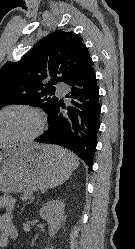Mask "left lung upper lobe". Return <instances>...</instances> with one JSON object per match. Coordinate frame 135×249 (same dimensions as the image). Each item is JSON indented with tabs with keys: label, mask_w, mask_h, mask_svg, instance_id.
<instances>
[{
	"label": "left lung upper lobe",
	"mask_w": 135,
	"mask_h": 249,
	"mask_svg": "<svg viewBox=\"0 0 135 249\" xmlns=\"http://www.w3.org/2000/svg\"><path fill=\"white\" fill-rule=\"evenodd\" d=\"M82 38L57 30L44 37L18 62H7L0 70V108L10 103L41 107L47 114L58 98L57 82L66 84L85 73L92 59Z\"/></svg>",
	"instance_id": "left-lung-upper-lobe-1"
}]
</instances>
